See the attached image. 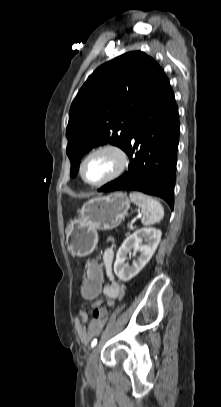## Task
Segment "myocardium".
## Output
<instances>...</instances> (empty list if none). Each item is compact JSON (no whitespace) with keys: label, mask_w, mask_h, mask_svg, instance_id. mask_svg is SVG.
I'll use <instances>...</instances> for the list:
<instances>
[{"label":"myocardium","mask_w":221,"mask_h":407,"mask_svg":"<svg viewBox=\"0 0 221 407\" xmlns=\"http://www.w3.org/2000/svg\"><path fill=\"white\" fill-rule=\"evenodd\" d=\"M101 152H111L113 153L117 159H118V166L117 169L107 178H105L104 180L100 181V182H89L84 175V167L86 162L95 154L101 153ZM129 155L126 152V150L121 147L120 145L117 144H113V143H108V144H104L102 146H99L95 149H93L91 152H89L85 158L82 160L81 165H80V176L82 178V180L88 184L89 186L92 187H101L104 186L116 179H118L119 177H121L124 172L127 170L128 166H129Z\"/></svg>","instance_id":"obj_1"}]
</instances>
